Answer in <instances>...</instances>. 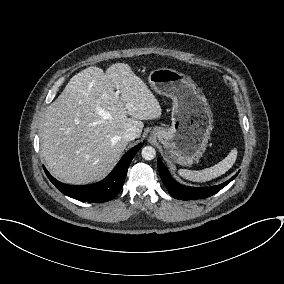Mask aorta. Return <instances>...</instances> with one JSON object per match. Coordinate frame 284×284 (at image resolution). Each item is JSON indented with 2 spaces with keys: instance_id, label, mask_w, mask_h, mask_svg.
Instances as JSON below:
<instances>
[{
  "instance_id": "762f6f07",
  "label": "aorta",
  "mask_w": 284,
  "mask_h": 284,
  "mask_svg": "<svg viewBox=\"0 0 284 284\" xmlns=\"http://www.w3.org/2000/svg\"><path fill=\"white\" fill-rule=\"evenodd\" d=\"M141 155L145 160H152L156 156V150L152 146H145L142 149Z\"/></svg>"
}]
</instances>
